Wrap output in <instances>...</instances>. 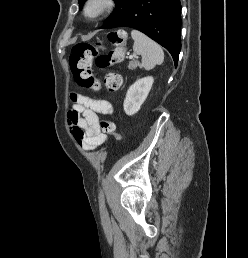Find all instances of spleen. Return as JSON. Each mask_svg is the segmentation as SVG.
Instances as JSON below:
<instances>
[{
    "label": "spleen",
    "instance_id": "obj_1",
    "mask_svg": "<svg viewBox=\"0 0 248 258\" xmlns=\"http://www.w3.org/2000/svg\"><path fill=\"white\" fill-rule=\"evenodd\" d=\"M133 51L142 56L141 67L150 70L164 61L162 48L148 36L138 30H132Z\"/></svg>",
    "mask_w": 248,
    "mask_h": 258
}]
</instances>
